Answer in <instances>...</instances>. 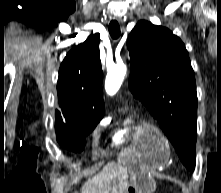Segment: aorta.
<instances>
[{
	"mask_svg": "<svg viewBox=\"0 0 221 193\" xmlns=\"http://www.w3.org/2000/svg\"><path fill=\"white\" fill-rule=\"evenodd\" d=\"M127 72L125 64L120 63L108 70L105 80V90L109 95H114L120 88Z\"/></svg>",
	"mask_w": 221,
	"mask_h": 193,
	"instance_id": "obj_1",
	"label": "aorta"
}]
</instances>
